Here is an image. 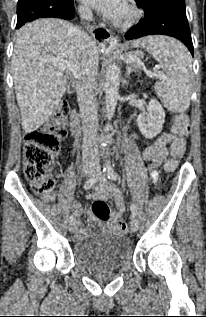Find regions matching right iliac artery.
I'll return each mask as SVG.
<instances>
[{"instance_id": "right-iliac-artery-1", "label": "right iliac artery", "mask_w": 206, "mask_h": 317, "mask_svg": "<svg viewBox=\"0 0 206 317\" xmlns=\"http://www.w3.org/2000/svg\"><path fill=\"white\" fill-rule=\"evenodd\" d=\"M104 172H105V169H103V172H102V173H104ZM102 173H101V174H98V175H96V176H92L91 178H89V179L85 182L84 188L87 190V189H90L91 187H93V186L98 182V180L101 178ZM73 221H74V217H73V216H70V217H69V222L72 223Z\"/></svg>"}]
</instances>
